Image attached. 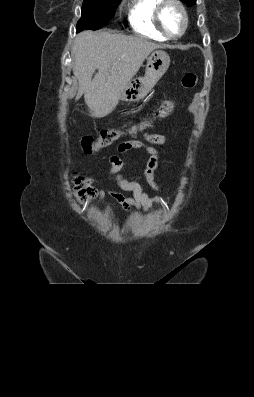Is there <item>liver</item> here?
<instances>
[{"instance_id": "6515ba94", "label": "liver", "mask_w": 254, "mask_h": 397, "mask_svg": "<svg viewBox=\"0 0 254 397\" xmlns=\"http://www.w3.org/2000/svg\"><path fill=\"white\" fill-rule=\"evenodd\" d=\"M161 46L143 37L84 31L73 44V73L78 79V100H84L92 117L114 111L124 86L136 75L146 57ZM98 73L92 79L95 70Z\"/></svg>"}]
</instances>
